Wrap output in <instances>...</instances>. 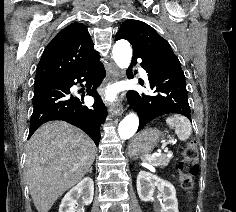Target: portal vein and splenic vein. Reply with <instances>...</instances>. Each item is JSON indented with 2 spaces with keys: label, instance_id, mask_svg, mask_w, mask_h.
I'll use <instances>...</instances> for the list:
<instances>
[{
  "label": "portal vein and splenic vein",
  "instance_id": "18ae733b",
  "mask_svg": "<svg viewBox=\"0 0 236 212\" xmlns=\"http://www.w3.org/2000/svg\"><path fill=\"white\" fill-rule=\"evenodd\" d=\"M169 142H172V140H170ZM163 149H164L165 152H167V150H168L166 147H164ZM159 155H161V150H158V152L154 153L153 156H159Z\"/></svg>",
  "mask_w": 236,
  "mask_h": 212
}]
</instances>
